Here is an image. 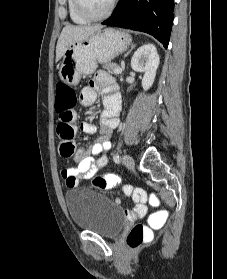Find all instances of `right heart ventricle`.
Instances as JSON below:
<instances>
[{"instance_id": "e07e8e85", "label": "right heart ventricle", "mask_w": 227, "mask_h": 279, "mask_svg": "<svg viewBox=\"0 0 227 279\" xmlns=\"http://www.w3.org/2000/svg\"><path fill=\"white\" fill-rule=\"evenodd\" d=\"M67 9H68L69 17L73 23H75V24L88 23V20L84 19L83 17H81L78 14V12L75 8L74 0H67Z\"/></svg>"}]
</instances>
